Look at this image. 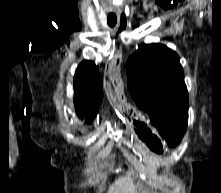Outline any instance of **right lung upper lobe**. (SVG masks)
Masks as SVG:
<instances>
[{"label":"right lung upper lobe","mask_w":221,"mask_h":193,"mask_svg":"<svg viewBox=\"0 0 221 193\" xmlns=\"http://www.w3.org/2000/svg\"><path fill=\"white\" fill-rule=\"evenodd\" d=\"M98 67L92 61L82 62L74 77V104L80 118L91 122L97 115L103 93Z\"/></svg>","instance_id":"cb5924a9"}]
</instances>
